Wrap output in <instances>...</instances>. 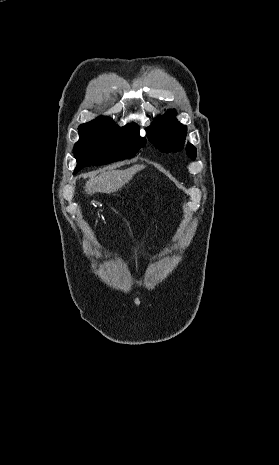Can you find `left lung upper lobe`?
I'll return each instance as SVG.
<instances>
[{"label":"left lung upper lobe","mask_w":279,"mask_h":465,"mask_svg":"<svg viewBox=\"0 0 279 465\" xmlns=\"http://www.w3.org/2000/svg\"><path fill=\"white\" fill-rule=\"evenodd\" d=\"M175 114V110H170L147 128L150 142L162 152H177L183 149L187 127L177 121ZM186 151L189 157L196 158V148L192 144H187Z\"/></svg>","instance_id":"5c2ea615"}]
</instances>
